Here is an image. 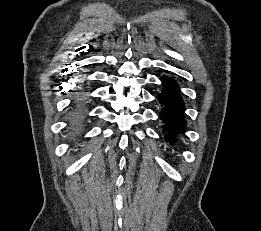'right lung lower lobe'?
Returning <instances> with one entry per match:
<instances>
[{"instance_id":"right-lung-lower-lobe-1","label":"right lung lower lobe","mask_w":261,"mask_h":231,"mask_svg":"<svg viewBox=\"0 0 261 231\" xmlns=\"http://www.w3.org/2000/svg\"><path fill=\"white\" fill-rule=\"evenodd\" d=\"M81 101H78L77 104H80ZM81 114L80 112H77L73 117H72V126L73 127H79L81 124Z\"/></svg>"}]
</instances>
